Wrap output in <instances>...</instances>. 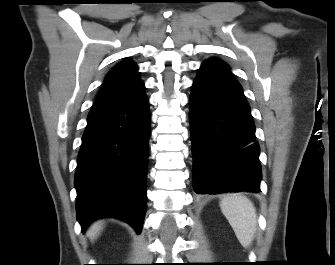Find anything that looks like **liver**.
<instances>
[{
  "instance_id": "obj_1",
  "label": "liver",
  "mask_w": 335,
  "mask_h": 265,
  "mask_svg": "<svg viewBox=\"0 0 335 265\" xmlns=\"http://www.w3.org/2000/svg\"><path fill=\"white\" fill-rule=\"evenodd\" d=\"M102 230V226L100 222L94 223L88 231V235L91 239H94L98 236L100 231Z\"/></svg>"
}]
</instances>
